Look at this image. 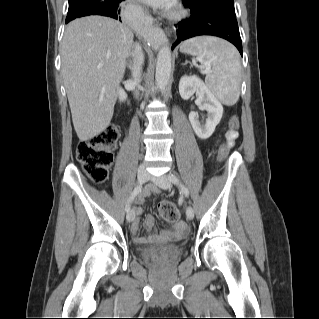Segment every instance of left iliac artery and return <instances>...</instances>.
I'll return each mask as SVG.
<instances>
[{"mask_svg": "<svg viewBox=\"0 0 319 319\" xmlns=\"http://www.w3.org/2000/svg\"><path fill=\"white\" fill-rule=\"evenodd\" d=\"M168 178L172 183L176 184L179 187L180 192L184 194L185 197L189 196L188 189L180 182L179 178L175 174H169Z\"/></svg>", "mask_w": 319, "mask_h": 319, "instance_id": "obj_1", "label": "left iliac artery"}]
</instances>
